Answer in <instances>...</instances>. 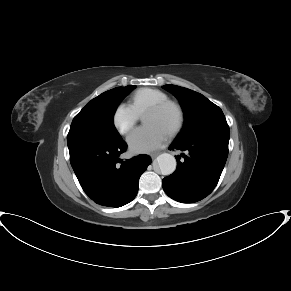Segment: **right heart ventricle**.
<instances>
[{
    "instance_id": "e07e8e85",
    "label": "right heart ventricle",
    "mask_w": 291,
    "mask_h": 291,
    "mask_svg": "<svg viewBox=\"0 0 291 291\" xmlns=\"http://www.w3.org/2000/svg\"><path fill=\"white\" fill-rule=\"evenodd\" d=\"M167 98V95L158 89L141 88L132 94L130 105L138 115H142L148 106L167 100Z\"/></svg>"
}]
</instances>
